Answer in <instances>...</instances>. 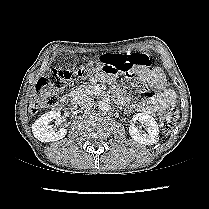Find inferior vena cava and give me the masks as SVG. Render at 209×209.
I'll use <instances>...</instances> for the list:
<instances>
[{
    "mask_svg": "<svg viewBox=\"0 0 209 209\" xmlns=\"http://www.w3.org/2000/svg\"><path fill=\"white\" fill-rule=\"evenodd\" d=\"M94 105V100L90 97H83L79 101V106L83 110H90Z\"/></svg>",
    "mask_w": 209,
    "mask_h": 209,
    "instance_id": "inferior-vena-cava-1",
    "label": "inferior vena cava"
}]
</instances>
